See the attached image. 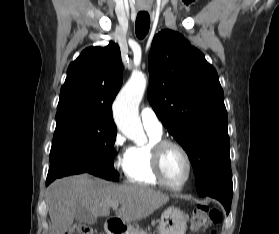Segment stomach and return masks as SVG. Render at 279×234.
<instances>
[{"label": "stomach", "mask_w": 279, "mask_h": 234, "mask_svg": "<svg viewBox=\"0 0 279 234\" xmlns=\"http://www.w3.org/2000/svg\"><path fill=\"white\" fill-rule=\"evenodd\" d=\"M188 215L178 208L170 207L162 215L158 226L159 234H185ZM133 228L129 227V232Z\"/></svg>", "instance_id": "1"}]
</instances>
